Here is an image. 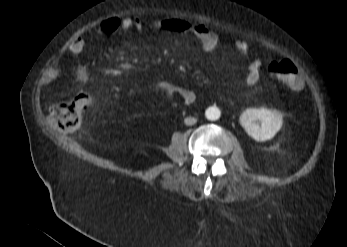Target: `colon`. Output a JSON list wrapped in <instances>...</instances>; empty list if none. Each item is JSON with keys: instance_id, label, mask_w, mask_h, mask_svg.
<instances>
[{"instance_id": "1", "label": "colon", "mask_w": 347, "mask_h": 247, "mask_svg": "<svg viewBox=\"0 0 347 247\" xmlns=\"http://www.w3.org/2000/svg\"><path fill=\"white\" fill-rule=\"evenodd\" d=\"M273 77L290 88H299L301 78L296 65L289 59H280L270 63ZM96 106V97L90 91L79 92L74 100L54 105L49 111L52 122L63 132L76 130L83 112H90Z\"/></svg>"}]
</instances>
